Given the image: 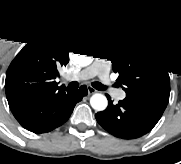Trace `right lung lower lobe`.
Returning <instances> with one entry per match:
<instances>
[{"instance_id": "obj_1", "label": "right lung lower lobe", "mask_w": 181, "mask_h": 164, "mask_svg": "<svg viewBox=\"0 0 181 164\" xmlns=\"http://www.w3.org/2000/svg\"><path fill=\"white\" fill-rule=\"evenodd\" d=\"M87 95V87L66 88L49 99L18 100L9 107L25 129L34 133L49 132L65 123L77 102Z\"/></svg>"}]
</instances>
